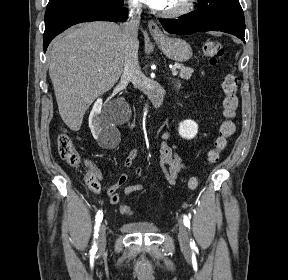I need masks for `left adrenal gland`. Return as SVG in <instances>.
<instances>
[{
	"label": "left adrenal gland",
	"instance_id": "left-adrenal-gland-1",
	"mask_svg": "<svg viewBox=\"0 0 288 280\" xmlns=\"http://www.w3.org/2000/svg\"><path fill=\"white\" fill-rule=\"evenodd\" d=\"M180 85H181L180 82H176V84H175V86H176L177 89L180 88Z\"/></svg>",
	"mask_w": 288,
	"mask_h": 280
}]
</instances>
